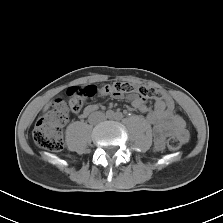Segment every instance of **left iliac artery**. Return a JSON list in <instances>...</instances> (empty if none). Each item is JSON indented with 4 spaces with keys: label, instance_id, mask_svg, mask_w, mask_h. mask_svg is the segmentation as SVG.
Returning a JSON list of instances; mask_svg holds the SVG:
<instances>
[{
    "label": "left iliac artery",
    "instance_id": "left-iliac-artery-1",
    "mask_svg": "<svg viewBox=\"0 0 223 223\" xmlns=\"http://www.w3.org/2000/svg\"><path fill=\"white\" fill-rule=\"evenodd\" d=\"M114 118H115L116 120H121V119L123 118V115H122V113L117 112V113L114 114Z\"/></svg>",
    "mask_w": 223,
    "mask_h": 223
}]
</instances>
